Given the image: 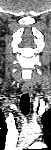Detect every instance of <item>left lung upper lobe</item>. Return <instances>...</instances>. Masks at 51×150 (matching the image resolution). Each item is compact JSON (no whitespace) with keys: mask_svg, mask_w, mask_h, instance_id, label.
Returning a JSON list of instances; mask_svg holds the SVG:
<instances>
[{"mask_svg":"<svg viewBox=\"0 0 51 150\" xmlns=\"http://www.w3.org/2000/svg\"><path fill=\"white\" fill-rule=\"evenodd\" d=\"M41 121L44 126V140L51 146V110L44 112Z\"/></svg>","mask_w":51,"mask_h":150,"instance_id":"obj_1","label":"left lung upper lobe"}]
</instances>
